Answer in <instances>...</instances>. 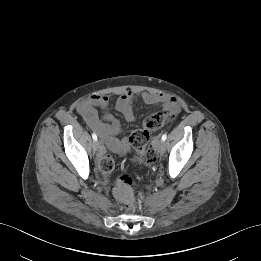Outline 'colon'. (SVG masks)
I'll list each match as a JSON object with an SVG mask.
<instances>
[{"label":"colon","mask_w":261,"mask_h":261,"mask_svg":"<svg viewBox=\"0 0 261 261\" xmlns=\"http://www.w3.org/2000/svg\"><path fill=\"white\" fill-rule=\"evenodd\" d=\"M172 119L173 113L168 110L153 113L144 119L141 128L134 130L129 136V142L135 149L138 159L150 169H153L156 164V154L150 146V134ZM114 167L115 162L110 154L102 156L99 169L103 177H107L114 170ZM114 192L127 209L134 207L135 197L132 180L128 175L124 174L118 178Z\"/></svg>","instance_id":"obj_1"}]
</instances>
